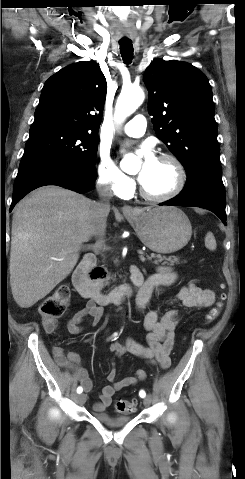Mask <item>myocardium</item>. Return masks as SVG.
Returning a JSON list of instances; mask_svg holds the SVG:
<instances>
[{"mask_svg":"<svg viewBox=\"0 0 245 479\" xmlns=\"http://www.w3.org/2000/svg\"><path fill=\"white\" fill-rule=\"evenodd\" d=\"M157 159L168 161L174 168L175 171V182L172 188L164 194L161 195H153L148 193L143 186L139 185V193L140 195L147 201L160 203L166 202L174 197H176L184 188L186 183V171L182 164V162L173 154L171 153H161Z\"/></svg>","mask_w":245,"mask_h":479,"instance_id":"obj_1","label":"myocardium"}]
</instances>
